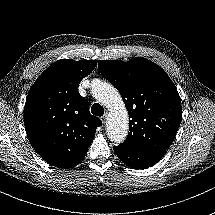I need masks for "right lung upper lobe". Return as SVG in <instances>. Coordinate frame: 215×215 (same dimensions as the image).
<instances>
[{
    "mask_svg": "<svg viewBox=\"0 0 215 215\" xmlns=\"http://www.w3.org/2000/svg\"><path fill=\"white\" fill-rule=\"evenodd\" d=\"M95 66L96 60H58L28 92L24 107L27 136L36 152L52 166L67 169L78 165L96 128L102 125L78 92L81 80Z\"/></svg>",
    "mask_w": 215,
    "mask_h": 215,
    "instance_id": "right-lung-upper-lobe-1",
    "label": "right lung upper lobe"
}]
</instances>
